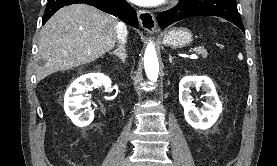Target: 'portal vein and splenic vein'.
I'll use <instances>...</instances> for the list:
<instances>
[{
  "instance_id": "obj_1",
  "label": "portal vein and splenic vein",
  "mask_w": 277,
  "mask_h": 166,
  "mask_svg": "<svg viewBox=\"0 0 277 166\" xmlns=\"http://www.w3.org/2000/svg\"><path fill=\"white\" fill-rule=\"evenodd\" d=\"M190 58H191V59H196V58H198V56H197L196 54H192V55L190 56Z\"/></svg>"
}]
</instances>
